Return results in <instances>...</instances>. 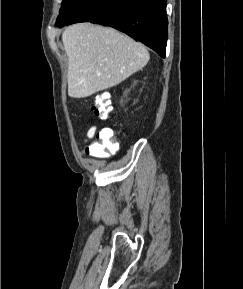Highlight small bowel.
Here are the masks:
<instances>
[{"label":"small bowel","mask_w":243,"mask_h":289,"mask_svg":"<svg viewBox=\"0 0 243 289\" xmlns=\"http://www.w3.org/2000/svg\"><path fill=\"white\" fill-rule=\"evenodd\" d=\"M97 128L95 126H92L91 128H89V130L87 131V139H91L94 137V135L96 134Z\"/></svg>","instance_id":"c3829d8e"}]
</instances>
